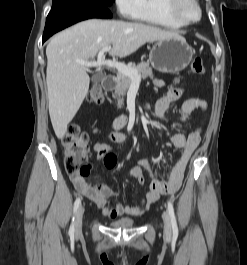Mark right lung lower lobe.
Segmentation results:
<instances>
[{"label": "right lung lower lobe", "instance_id": "98d812e1", "mask_svg": "<svg viewBox=\"0 0 247 265\" xmlns=\"http://www.w3.org/2000/svg\"><path fill=\"white\" fill-rule=\"evenodd\" d=\"M111 17L107 7L97 5H71L52 9L46 20L42 43L54 33L79 21Z\"/></svg>", "mask_w": 247, "mask_h": 265}]
</instances>
